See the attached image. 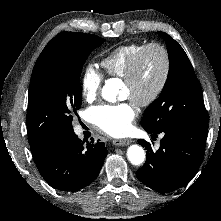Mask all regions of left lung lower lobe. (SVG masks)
<instances>
[{"instance_id":"left-lung-lower-lobe-1","label":"left lung lower lobe","mask_w":221,"mask_h":221,"mask_svg":"<svg viewBox=\"0 0 221 221\" xmlns=\"http://www.w3.org/2000/svg\"><path fill=\"white\" fill-rule=\"evenodd\" d=\"M208 122L209 118L200 123L171 124L161 131L165 135L156 152L152 150L150 143L139 140L138 143L147 150V159L137 170V178L149 188L162 193H169L186 185L203 160ZM156 134L159 133L152 135Z\"/></svg>"}]
</instances>
